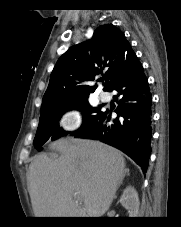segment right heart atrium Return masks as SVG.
Returning <instances> with one entry per match:
<instances>
[{
  "instance_id": "d8ad5b80",
  "label": "right heart atrium",
  "mask_w": 181,
  "mask_h": 227,
  "mask_svg": "<svg viewBox=\"0 0 181 227\" xmlns=\"http://www.w3.org/2000/svg\"><path fill=\"white\" fill-rule=\"evenodd\" d=\"M81 115L76 109H68L62 113L58 124L64 132H74L81 127Z\"/></svg>"
}]
</instances>
